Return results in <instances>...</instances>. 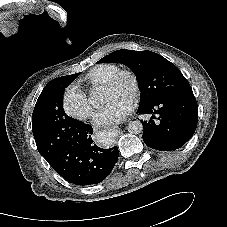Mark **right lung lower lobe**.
Returning <instances> with one entry per match:
<instances>
[{
  "mask_svg": "<svg viewBox=\"0 0 227 227\" xmlns=\"http://www.w3.org/2000/svg\"><path fill=\"white\" fill-rule=\"evenodd\" d=\"M72 136L63 143L47 162L70 183L91 185L103 181L118 161L119 151L98 147L92 141L93 129L76 120L70 128Z\"/></svg>",
  "mask_w": 227,
  "mask_h": 227,
  "instance_id": "obj_1",
  "label": "right lung lower lobe"
}]
</instances>
